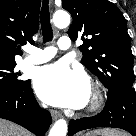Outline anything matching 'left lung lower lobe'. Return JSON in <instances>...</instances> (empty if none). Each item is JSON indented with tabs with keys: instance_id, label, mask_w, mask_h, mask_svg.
<instances>
[{
	"instance_id": "left-lung-lower-lobe-1",
	"label": "left lung lower lobe",
	"mask_w": 136,
	"mask_h": 136,
	"mask_svg": "<svg viewBox=\"0 0 136 136\" xmlns=\"http://www.w3.org/2000/svg\"><path fill=\"white\" fill-rule=\"evenodd\" d=\"M95 127H113L136 136V97L133 87L112 88L103 111L93 117L69 122L68 135Z\"/></svg>"
}]
</instances>
